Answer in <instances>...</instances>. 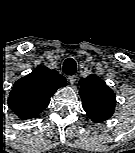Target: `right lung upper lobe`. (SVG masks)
Segmentation results:
<instances>
[{"label":"right lung upper lobe","instance_id":"obj_1","mask_svg":"<svg viewBox=\"0 0 135 153\" xmlns=\"http://www.w3.org/2000/svg\"><path fill=\"white\" fill-rule=\"evenodd\" d=\"M66 85L65 77L56 70L44 66L37 67L15 84L18 114L26 119L36 117L48 106L55 91Z\"/></svg>","mask_w":135,"mask_h":153}]
</instances>
